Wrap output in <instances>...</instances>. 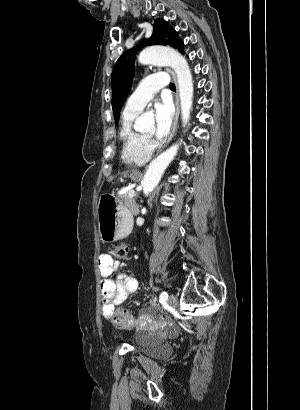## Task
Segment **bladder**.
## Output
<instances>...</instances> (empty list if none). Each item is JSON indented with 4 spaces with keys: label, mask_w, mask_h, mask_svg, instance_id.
I'll return each mask as SVG.
<instances>
[{
    "label": "bladder",
    "mask_w": 300,
    "mask_h": 410,
    "mask_svg": "<svg viewBox=\"0 0 300 410\" xmlns=\"http://www.w3.org/2000/svg\"><path fill=\"white\" fill-rule=\"evenodd\" d=\"M166 348L165 343H151L147 345H143L140 347V351L149 356H158L162 355L164 349ZM170 349H168V352Z\"/></svg>",
    "instance_id": "1"
}]
</instances>
